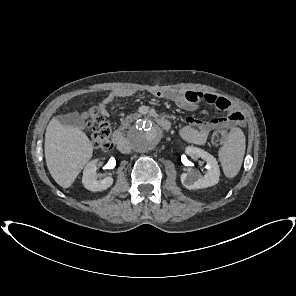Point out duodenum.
I'll return each instance as SVG.
<instances>
[{
  "label": "duodenum",
  "mask_w": 296,
  "mask_h": 296,
  "mask_svg": "<svg viewBox=\"0 0 296 296\" xmlns=\"http://www.w3.org/2000/svg\"><path fill=\"white\" fill-rule=\"evenodd\" d=\"M158 124L160 125V127H162L165 130L170 129V127H171L170 121L165 118H160L158 120ZM112 141H113L114 145H116L121 152H123V153L128 152L129 146H128V143L125 140L123 132L121 130H116L113 133Z\"/></svg>",
  "instance_id": "410a0bca"
}]
</instances>
